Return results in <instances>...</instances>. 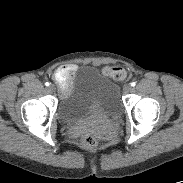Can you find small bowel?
<instances>
[{"label":"small bowel","mask_w":183,"mask_h":183,"mask_svg":"<svg viewBox=\"0 0 183 183\" xmlns=\"http://www.w3.org/2000/svg\"><path fill=\"white\" fill-rule=\"evenodd\" d=\"M75 71H76V67H75L74 65H67V66H64V67H62L61 69H59L58 72H71V74H72V76H73V74L75 73ZM71 82H72V79H71V81L67 84V86H66L65 88L61 89L63 93L67 92V91L70 89V87H71Z\"/></svg>","instance_id":"small-bowel-1"}]
</instances>
